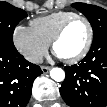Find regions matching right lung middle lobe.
I'll return each instance as SVG.
<instances>
[{
  "mask_svg": "<svg viewBox=\"0 0 107 107\" xmlns=\"http://www.w3.org/2000/svg\"><path fill=\"white\" fill-rule=\"evenodd\" d=\"M27 13L7 2H0V48L16 51L13 44V32L16 25Z\"/></svg>",
  "mask_w": 107,
  "mask_h": 107,
  "instance_id": "1",
  "label": "right lung middle lobe"
}]
</instances>
